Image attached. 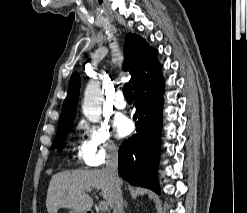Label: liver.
I'll return each mask as SVG.
<instances>
[{
  "label": "liver",
  "mask_w": 247,
  "mask_h": 213,
  "mask_svg": "<svg viewBox=\"0 0 247 213\" xmlns=\"http://www.w3.org/2000/svg\"><path fill=\"white\" fill-rule=\"evenodd\" d=\"M94 188L100 190L110 207L114 205V184L105 169L64 171L53 175L46 198L48 213H57L60 208L87 212L93 205L88 192Z\"/></svg>",
  "instance_id": "liver-1"
}]
</instances>
